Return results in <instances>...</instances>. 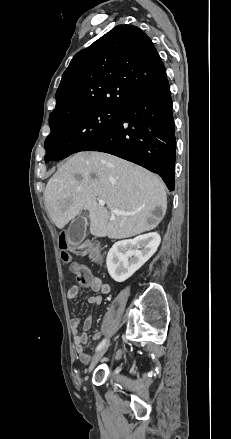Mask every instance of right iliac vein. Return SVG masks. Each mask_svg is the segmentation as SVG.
<instances>
[{
    "instance_id": "63e3f726",
    "label": "right iliac vein",
    "mask_w": 231,
    "mask_h": 439,
    "mask_svg": "<svg viewBox=\"0 0 231 439\" xmlns=\"http://www.w3.org/2000/svg\"><path fill=\"white\" fill-rule=\"evenodd\" d=\"M109 342L106 344V345H104L100 350H98L95 354H94V356H93V358H92V361H91V363H90V366H89V368H88V373L95 367V365L98 363V361L102 358V356L105 354V352L107 351V349H108V347H109Z\"/></svg>"
}]
</instances>
